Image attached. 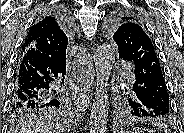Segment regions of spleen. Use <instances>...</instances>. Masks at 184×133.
Wrapping results in <instances>:
<instances>
[{"label": "spleen", "instance_id": "1", "mask_svg": "<svg viewBox=\"0 0 184 133\" xmlns=\"http://www.w3.org/2000/svg\"><path fill=\"white\" fill-rule=\"evenodd\" d=\"M133 133H139V132H142V129H134L133 131H131Z\"/></svg>", "mask_w": 184, "mask_h": 133}]
</instances>
